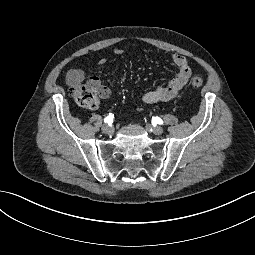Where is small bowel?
I'll return each instance as SVG.
<instances>
[{
  "label": "small bowel",
  "mask_w": 255,
  "mask_h": 255,
  "mask_svg": "<svg viewBox=\"0 0 255 255\" xmlns=\"http://www.w3.org/2000/svg\"><path fill=\"white\" fill-rule=\"evenodd\" d=\"M123 50L121 48L114 49L115 55H121ZM170 60L178 68L176 75L164 85L157 87L152 91L144 93L141 97L142 102L145 104H154L158 102H168L174 99L182 88L187 84L192 71L188 60L180 54L170 55ZM106 58H101L98 62L99 65L106 63ZM87 81L88 84L93 86L99 93L100 97L107 98L110 95V90L105 86L99 77L92 76L87 79L86 72L83 68H71L66 75V82L70 87H76Z\"/></svg>",
  "instance_id": "1"
}]
</instances>
